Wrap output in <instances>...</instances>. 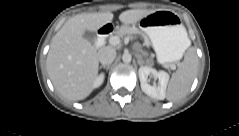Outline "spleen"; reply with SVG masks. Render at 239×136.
<instances>
[{
  "label": "spleen",
  "instance_id": "1",
  "mask_svg": "<svg viewBox=\"0 0 239 136\" xmlns=\"http://www.w3.org/2000/svg\"><path fill=\"white\" fill-rule=\"evenodd\" d=\"M188 46L191 41L187 39ZM197 56L193 50H190L182 65L172 75L167 89V99L169 101H177L185 97L189 92L192 82L197 72Z\"/></svg>",
  "mask_w": 239,
  "mask_h": 136
}]
</instances>
